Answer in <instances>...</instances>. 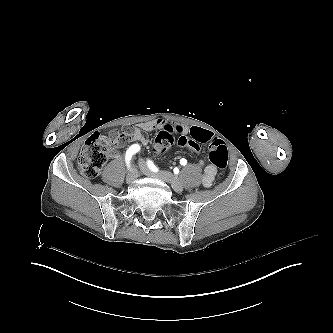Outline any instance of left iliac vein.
Wrapping results in <instances>:
<instances>
[{"label": "left iliac vein", "mask_w": 333, "mask_h": 333, "mask_svg": "<svg viewBox=\"0 0 333 333\" xmlns=\"http://www.w3.org/2000/svg\"><path fill=\"white\" fill-rule=\"evenodd\" d=\"M139 169L147 176L158 177L166 182H169L173 190L176 191L177 193H181L183 191V185L179 178L171 177L167 172L159 173L158 175H156L151 170H149L145 162L142 160L139 161Z\"/></svg>", "instance_id": "1"}]
</instances>
